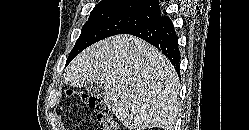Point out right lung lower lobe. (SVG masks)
Here are the masks:
<instances>
[{"mask_svg":"<svg viewBox=\"0 0 249 130\" xmlns=\"http://www.w3.org/2000/svg\"><path fill=\"white\" fill-rule=\"evenodd\" d=\"M125 34H131L142 38L158 48L174 65L180 75V52L177 43V35L168 16L159 18L129 30Z\"/></svg>","mask_w":249,"mask_h":130,"instance_id":"1","label":"right lung lower lobe"}]
</instances>
